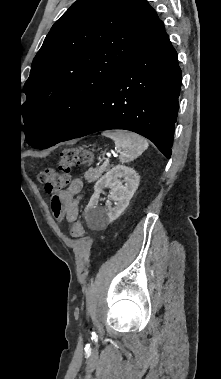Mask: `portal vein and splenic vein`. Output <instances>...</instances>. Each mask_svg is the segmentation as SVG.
<instances>
[{
    "instance_id": "obj_1",
    "label": "portal vein and splenic vein",
    "mask_w": 221,
    "mask_h": 379,
    "mask_svg": "<svg viewBox=\"0 0 221 379\" xmlns=\"http://www.w3.org/2000/svg\"><path fill=\"white\" fill-rule=\"evenodd\" d=\"M110 156H111V155H107V158H106V160L104 161L103 166L106 167V166L109 164V162H110Z\"/></svg>"
}]
</instances>
